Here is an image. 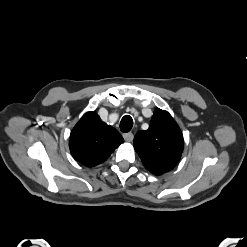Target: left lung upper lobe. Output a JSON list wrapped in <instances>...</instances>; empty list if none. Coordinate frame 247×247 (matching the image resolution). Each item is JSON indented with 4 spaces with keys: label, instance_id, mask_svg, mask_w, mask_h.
<instances>
[{
    "label": "left lung upper lobe",
    "instance_id": "1",
    "mask_svg": "<svg viewBox=\"0 0 247 247\" xmlns=\"http://www.w3.org/2000/svg\"><path fill=\"white\" fill-rule=\"evenodd\" d=\"M183 146L180 128L167 111L159 108L154 111L149 128L134 137V148L143 165L157 176L177 165Z\"/></svg>",
    "mask_w": 247,
    "mask_h": 247
}]
</instances>
